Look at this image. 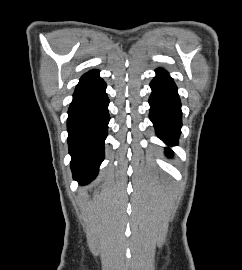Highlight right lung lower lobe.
<instances>
[{
    "mask_svg": "<svg viewBox=\"0 0 242 270\" xmlns=\"http://www.w3.org/2000/svg\"><path fill=\"white\" fill-rule=\"evenodd\" d=\"M99 71L84 74L68 110L67 130L73 178L80 184L93 180L104 159L108 134L109 99Z\"/></svg>",
    "mask_w": 242,
    "mask_h": 270,
    "instance_id": "1",
    "label": "right lung lower lobe"
}]
</instances>
